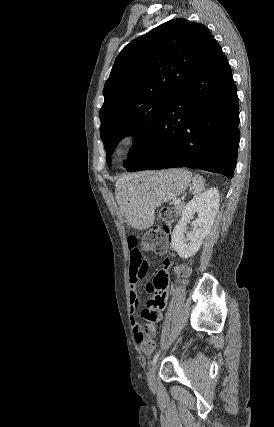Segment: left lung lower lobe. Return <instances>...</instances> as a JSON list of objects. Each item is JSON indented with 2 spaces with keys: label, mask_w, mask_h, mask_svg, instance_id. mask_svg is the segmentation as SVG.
Masks as SVG:
<instances>
[{
  "label": "left lung lower lobe",
  "mask_w": 274,
  "mask_h": 427,
  "mask_svg": "<svg viewBox=\"0 0 274 427\" xmlns=\"http://www.w3.org/2000/svg\"><path fill=\"white\" fill-rule=\"evenodd\" d=\"M238 97L218 43L186 78L145 153L127 171L188 167L233 178L239 145Z\"/></svg>",
  "instance_id": "1"
}]
</instances>
